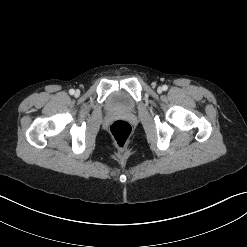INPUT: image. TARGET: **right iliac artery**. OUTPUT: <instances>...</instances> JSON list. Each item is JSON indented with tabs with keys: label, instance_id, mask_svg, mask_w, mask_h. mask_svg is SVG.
<instances>
[{
	"label": "right iliac artery",
	"instance_id": "obj_1",
	"mask_svg": "<svg viewBox=\"0 0 247 247\" xmlns=\"http://www.w3.org/2000/svg\"><path fill=\"white\" fill-rule=\"evenodd\" d=\"M74 92H75L74 89H70V90H69V93H70L71 95H73Z\"/></svg>",
	"mask_w": 247,
	"mask_h": 247
}]
</instances>
